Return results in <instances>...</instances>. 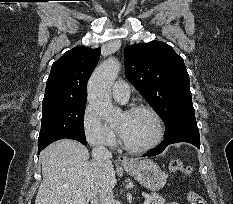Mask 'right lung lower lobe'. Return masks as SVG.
Segmentation results:
<instances>
[{"label": "right lung lower lobe", "instance_id": "98d812e1", "mask_svg": "<svg viewBox=\"0 0 233 204\" xmlns=\"http://www.w3.org/2000/svg\"><path fill=\"white\" fill-rule=\"evenodd\" d=\"M69 139L77 140V141L81 142V143L84 144V145L87 144L86 139H80V138H69ZM45 147H46V146H45ZM45 147L38 148L39 152H41L42 149H44Z\"/></svg>", "mask_w": 233, "mask_h": 204}]
</instances>
